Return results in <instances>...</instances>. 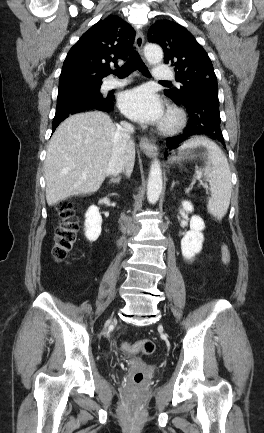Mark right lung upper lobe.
I'll return each mask as SVG.
<instances>
[{"label":"right lung upper lobe","mask_w":264,"mask_h":433,"mask_svg":"<svg viewBox=\"0 0 264 433\" xmlns=\"http://www.w3.org/2000/svg\"><path fill=\"white\" fill-rule=\"evenodd\" d=\"M133 36V28L115 15L94 24L67 54L58 90L102 83L110 74L109 62L128 56Z\"/></svg>","instance_id":"cb5924a9"}]
</instances>
